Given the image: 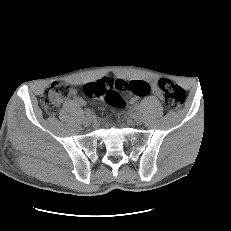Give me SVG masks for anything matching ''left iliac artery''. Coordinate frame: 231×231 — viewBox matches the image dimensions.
<instances>
[{
	"label": "left iliac artery",
	"mask_w": 231,
	"mask_h": 231,
	"mask_svg": "<svg viewBox=\"0 0 231 231\" xmlns=\"http://www.w3.org/2000/svg\"><path fill=\"white\" fill-rule=\"evenodd\" d=\"M132 110H133L134 112L139 111V110H140V105H139V104H134L133 107H132Z\"/></svg>",
	"instance_id": "44dca946"
}]
</instances>
